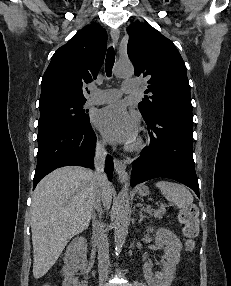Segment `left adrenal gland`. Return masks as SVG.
Listing matches in <instances>:
<instances>
[{
  "label": "left adrenal gland",
  "mask_w": 231,
  "mask_h": 286,
  "mask_svg": "<svg viewBox=\"0 0 231 286\" xmlns=\"http://www.w3.org/2000/svg\"><path fill=\"white\" fill-rule=\"evenodd\" d=\"M139 216H140V218H139L138 223H141V221H142L146 216L143 215V212H142L141 210L139 211Z\"/></svg>",
  "instance_id": "1"
}]
</instances>
